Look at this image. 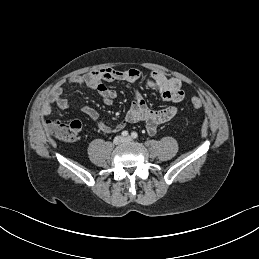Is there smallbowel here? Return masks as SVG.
<instances>
[{
  "label": "small bowel",
  "mask_w": 259,
  "mask_h": 259,
  "mask_svg": "<svg viewBox=\"0 0 259 259\" xmlns=\"http://www.w3.org/2000/svg\"><path fill=\"white\" fill-rule=\"evenodd\" d=\"M141 78L142 72L137 68L124 70L102 68L87 74L71 76L66 84H78L94 90L101 96L106 105H111L117 97V90L109 88L105 82H124L136 85ZM144 84L157 90L163 101L171 103V105L159 110L151 109L147 106L141 92L136 88L127 114L114 128L100 119V114L95 108L85 104H80L79 108L92 121L98 122L100 130L104 134L121 131L127 124L142 122L146 126L147 133L151 136L155 135L159 125L170 121L177 114V104L184 99L185 94L181 82L177 78L167 77L159 71H151L145 78ZM69 105V101L63 97V86H58L53 90L50 102L43 106L42 115H49L54 107L64 109Z\"/></svg>",
  "instance_id": "c3829d8e"
}]
</instances>
